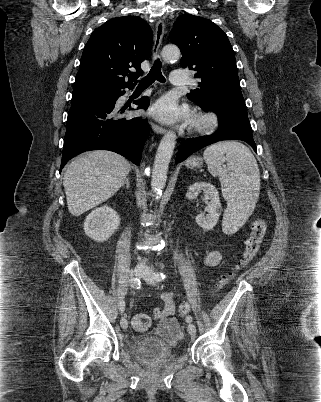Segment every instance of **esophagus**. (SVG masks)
I'll return each instance as SVG.
<instances>
[{
  "label": "esophagus",
  "mask_w": 321,
  "mask_h": 402,
  "mask_svg": "<svg viewBox=\"0 0 321 402\" xmlns=\"http://www.w3.org/2000/svg\"><path fill=\"white\" fill-rule=\"evenodd\" d=\"M164 29H165L164 22L162 20H159L156 23V28H155L154 44H153V48H152L153 57L158 56L160 45H161L162 38L164 35ZM151 125H152L154 132H156L157 134H164L166 132L165 128H163L153 122H151Z\"/></svg>",
  "instance_id": "esophagus-1"
}]
</instances>
